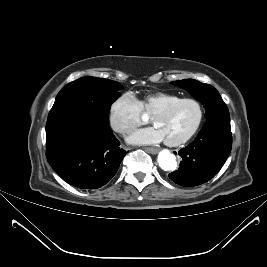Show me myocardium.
I'll return each instance as SVG.
<instances>
[{"label": "myocardium", "mask_w": 267, "mask_h": 267, "mask_svg": "<svg viewBox=\"0 0 267 267\" xmlns=\"http://www.w3.org/2000/svg\"><path fill=\"white\" fill-rule=\"evenodd\" d=\"M186 102L193 103L197 107L198 116H197L196 122L193 125V127L190 129V131L187 134H185L183 137L176 139V140H165V143L168 146H172V147L180 146V145L186 143L187 141H189L196 134V132L200 128L202 121H203V118H204L203 105L201 104V102L199 100H197L195 98H191V97L180 98L174 102H171V103L165 105L164 107L157 109L152 114V121L154 122V119L157 116L167 114L170 111H172L174 108H176L178 105L186 103Z\"/></svg>", "instance_id": "myocardium-1"}]
</instances>
